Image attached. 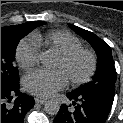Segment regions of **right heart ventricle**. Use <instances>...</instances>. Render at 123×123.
<instances>
[{"label":"right heart ventricle","instance_id":"obj_1","mask_svg":"<svg viewBox=\"0 0 123 123\" xmlns=\"http://www.w3.org/2000/svg\"><path fill=\"white\" fill-rule=\"evenodd\" d=\"M30 39L38 48L51 49L58 54L82 47L81 40L66 30H51L45 33L35 32Z\"/></svg>","mask_w":123,"mask_h":123}]
</instances>
